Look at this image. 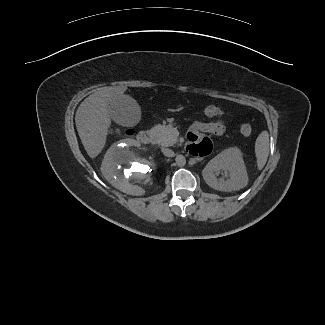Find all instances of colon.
Masks as SVG:
<instances>
[{
	"label": "colon",
	"instance_id": "colon-1",
	"mask_svg": "<svg viewBox=\"0 0 325 325\" xmlns=\"http://www.w3.org/2000/svg\"><path fill=\"white\" fill-rule=\"evenodd\" d=\"M201 113L206 117H220L224 114V110L221 107L215 105H208L201 109ZM240 131L244 136H250L252 134V128L250 124L244 123L240 126ZM115 133H119L120 130H113ZM130 132V131H128Z\"/></svg>",
	"mask_w": 325,
	"mask_h": 325
}]
</instances>
